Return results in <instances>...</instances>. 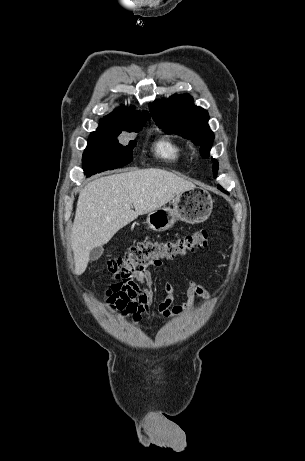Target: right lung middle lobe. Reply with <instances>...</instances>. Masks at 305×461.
<instances>
[{"label": "right lung middle lobe", "instance_id": "obj_1", "mask_svg": "<svg viewBox=\"0 0 305 461\" xmlns=\"http://www.w3.org/2000/svg\"><path fill=\"white\" fill-rule=\"evenodd\" d=\"M145 123L146 121L122 125L101 121L97 130L90 134L87 148L83 153L82 162L85 174L91 176L130 163L136 142L120 144L117 137L123 131L139 132Z\"/></svg>", "mask_w": 305, "mask_h": 461}]
</instances>
